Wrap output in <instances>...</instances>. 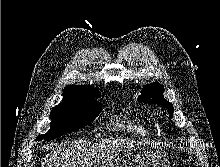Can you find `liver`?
I'll list each match as a JSON object with an SVG mask.
<instances>
[{"mask_svg":"<svg viewBox=\"0 0 220 167\" xmlns=\"http://www.w3.org/2000/svg\"><path fill=\"white\" fill-rule=\"evenodd\" d=\"M135 143L128 139L83 140L55 145L41 162L42 167H114L121 149Z\"/></svg>","mask_w":220,"mask_h":167,"instance_id":"liver-1","label":"liver"}]
</instances>
